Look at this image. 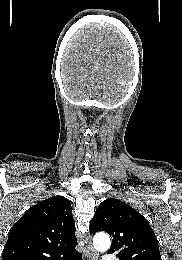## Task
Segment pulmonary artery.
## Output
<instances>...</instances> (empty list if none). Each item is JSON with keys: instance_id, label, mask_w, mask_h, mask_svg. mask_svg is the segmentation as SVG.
Wrapping results in <instances>:
<instances>
[{"instance_id": "e3ab8cb5", "label": "pulmonary artery", "mask_w": 182, "mask_h": 260, "mask_svg": "<svg viewBox=\"0 0 182 260\" xmlns=\"http://www.w3.org/2000/svg\"><path fill=\"white\" fill-rule=\"evenodd\" d=\"M103 260H119V259L113 255H105L103 257Z\"/></svg>"}]
</instances>
